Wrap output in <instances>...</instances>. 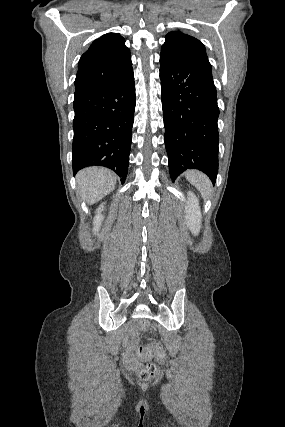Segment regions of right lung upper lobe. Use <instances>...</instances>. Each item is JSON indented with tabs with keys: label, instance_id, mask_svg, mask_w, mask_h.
I'll list each match as a JSON object with an SVG mask.
<instances>
[{
	"label": "right lung upper lobe",
	"instance_id": "cb5924a9",
	"mask_svg": "<svg viewBox=\"0 0 285 427\" xmlns=\"http://www.w3.org/2000/svg\"><path fill=\"white\" fill-rule=\"evenodd\" d=\"M131 72V54L124 38L117 33H107L95 40L80 58L75 93L117 82Z\"/></svg>",
	"mask_w": 285,
	"mask_h": 427
}]
</instances>
